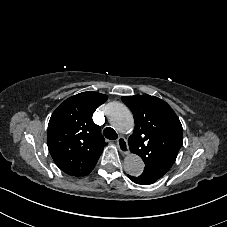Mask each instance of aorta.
Instances as JSON below:
<instances>
[{
    "label": "aorta",
    "mask_w": 227,
    "mask_h": 227,
    "mask_svg": "<svg viewBox=\"0 0 227 227\" xmlns=\"http://www.w3.org/2000/svg\"><path fill=\"white\" fill-rule=\"evenodd\" d=\"M106 114L111 125L119 132H127L134 126V119L131 111L118 102H111L106 107ZM145 164L140 156L130 153L124 159V169L131 176L142 174Z\"/></svg>",
    "instance_id": "1"
}]
</instances>
